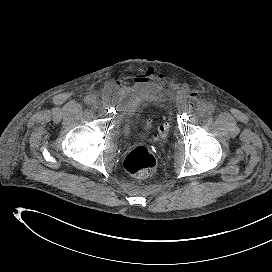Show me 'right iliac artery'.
I'll list each match as a JSON object with an SVG mask.
<instances>
[{"label": "right iliac artery", "mask_w": 272, "mask_h": 272, "mask_svg": "<svg viewBox=\"0 0 272 272\" xmlns=\"http://www.w3.org/2000/svg\"><path fill=\"white\" fill-rule=\"evenodd\" d=\"M84 101H85V103H86L87 105H90L91 102H92V98H91L90 96H86L85 99H84Z\"/></svg>", "instance_id": "82829eb1"}]
</instances>
